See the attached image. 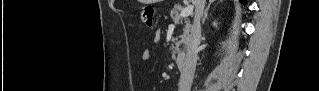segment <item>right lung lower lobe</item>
<instances>
[{
  "mask_svg": "<svg viewBox=\"0 0 319 91\" xmlns=\"http://www.w3.org/2000/svg\"><path fill=\"white\" fill-rule=\"evenodd\" d=\"M241 2H243V3L245 4V1H244V0H242Z\"/></svg>",
  "mask_w": 319,
  "mask_h": 91,
  "instance_id": "98d812e1",
  "label": "right lung lower lobe"
}]
</instances>
